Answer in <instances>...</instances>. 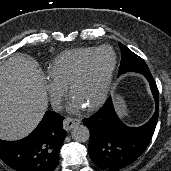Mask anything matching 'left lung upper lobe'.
Here are the masks:
<instances>
[{
  "instance_id": "left-lung-upper-lobe-1",
  "label": "left lung upper lobe",
  "mask_w": 171,
  "mask_h": 171,
  "mask_svg": "<svg viewBox=\"0 0 171 171\" xmlns=\"http://www.w3.org/2000/svg\"><path fill=\"white\" fill-rule=\"evenodd\" d=\"M121 49V65L119 69V74L125 72L133 71L143 74L145 77L151 75L148 66L145 61L129 50L126 46L119 43Z\"/></svg>"
}]
</instances>
